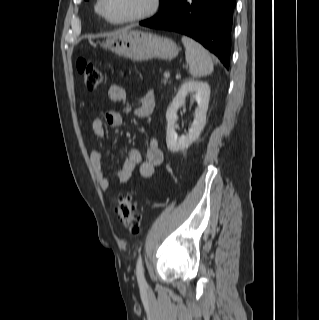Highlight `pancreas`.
I'll return each mask as SVG.
<instances>
[{"mask_svg":"<svg viewBox=\"0 0 319 320\" xmlns=\"http://www.w3.org/2000/svg\"><path fill=\"white\" fill-rule=\"evenodd\" d=\"M167 82H168V78L163 77L162 80H161V83H163L164 85H166Z\"/></svg>","mask_w":319,"mask_h":320,"instance_id":"cf45deb5","label":"pancreas"}]
</instances>
